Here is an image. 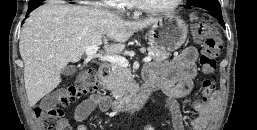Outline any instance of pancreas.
<instances>
[{
  "mask_svg": "<svg viewBox=\"0 0 257 130\" xmlns=\"http://www.w3.org/2000/svg\"><path fill=\"white\" fill-rule=\"evenodd\" d=\"M147 50L152 53L155 62L166 60L171 56L169 51L154 46H149ZM104 83L112 96L118 101L128 98L136 87L131 70L116 64H112V71L106 77Z\"/></svg>",
  "mask_w": 257,
  "mask_h": 130,
  "instance_id": "pancreas-1",
  "label": "pancreas"
}]
</instances>
